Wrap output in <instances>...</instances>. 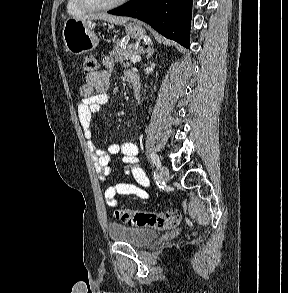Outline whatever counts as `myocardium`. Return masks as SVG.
I'll use <instances>...</instances> for the list:
<instances>
[{
	"instance_id": "f54148a6",
	"label": "myocardium",
	"mask_w": 288,
	"mask_h": 293,
	"mask_svg": "<svg viewBox=\"0 0 288 293\" xmlns=\"http://www.w3.org/2000/svg\"><path fill=\"white\" fill-rule=\"evenodd\" d=\"M127 0H116L111 3H106V4H100V3H95L90 0H76L77 4L87 10V11H101V10H110L116 7L121 6L124 4Z\"/></svg>"
}]
</instances>
